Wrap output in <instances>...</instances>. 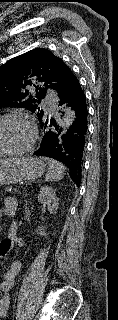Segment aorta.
I'll return each mask as SVG.
<instances>
[{
	"mask_svg": "<svg viewBox=\"0 0 118 320\" xmlns=\"http://www.w3.org/2000/svg\"><path fill=\"white\" fill-rule=\"evenodd\" d=\"M75 119V113L71 109H67L63 117L64 128H69Z\"/></svg>",
	"mask_w": 118,
	"mask_h": 320,
	"instance_id": "aorta-1",
	"label": "aorta"
}]
</instances>
